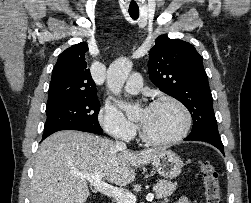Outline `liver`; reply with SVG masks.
<instances>
[{"label":"liver","instance_id":"obj_1","mask_svg":"<svg viewBox=\"0 0 251 203\" xmlns=\"http://www.w3.org/2000/svg\"><path fill=\"white\" fill-rule=\"evenodd\" d=\"M164 148L130 152L88 133L64 130L46 138L37 151L31 203H84L90 196L86 179L76 173L102 172L118 186L134 181L135 170L154 161Z\"/></svg>","mask_w":251,"mask_h":203}]
</instances>
